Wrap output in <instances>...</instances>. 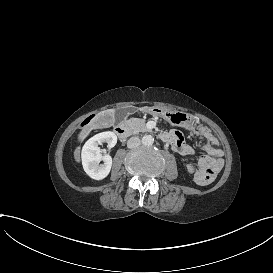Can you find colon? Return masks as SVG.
I'll return each instance as SVG.
<instances>
[{
	"mask_svg": "<svg viewBox=\"0 0 273 273\" xmlns=\"http://www.w3.org/2000/svg\"><path fill=\"white\" fill-rule=\"evenodd\" d=\"M220 153H215L212 157H204L200 161L202 171L198 174V181L202 185H209L213 181V177L220 172Z\"/></svg>",
	"mask_w": 273,
	"mask_h": 273,
	"instance_id": "colon-1",
	"label": "colon"
}]
</instances>
